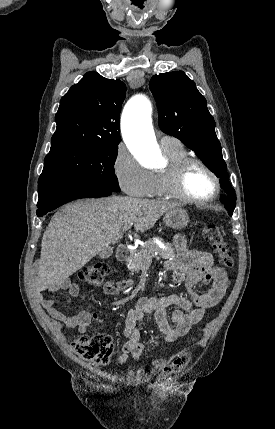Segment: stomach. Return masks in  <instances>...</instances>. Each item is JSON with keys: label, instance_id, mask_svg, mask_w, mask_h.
<instances>
[{"label": "stomach", "instance_id": "stomach-1", "mask_svg": "<svg viewBox=\"0 0 275 429\" xmlns=\"http://www.w3.org/2000/svg\"><path fill=\"white\" fill-rule=\"evenodd\" d=\"M163 220L166 226L178 230L187 226L189 223V216L186 210L175 207L165 213Z\"/></svg>", "mask_w": 275, "mask_h": 429}]
</instances>
